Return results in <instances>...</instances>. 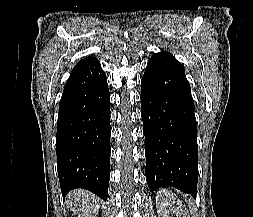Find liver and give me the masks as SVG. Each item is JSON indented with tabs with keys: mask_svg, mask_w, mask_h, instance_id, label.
I'll return each mask as SVG.
<instances>
[{
	"mask_svg": "<svg viewBox=\"0 0 253 217\" xmlns=\"http://www.w3.org/2000/svg\"><path fill=\"white\" fill-rule=\"evenodd\" d=\"M69 204L80 207L81 217H94L93 210L99 206V198L82 189H75L67 195Z\"/></svg>",
	"mask_w": 253,
	"mask_h": 217,
	"instance_id": "obj_1",
	"label": "liver"
}]
</instances>
